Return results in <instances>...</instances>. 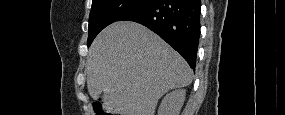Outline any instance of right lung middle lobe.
<instances>
[{
    "label": "right lung middle lobe",
    "instance_id": "dd1d6c3e",
    "mask_svg": "<svg viewBox=\"0 0 285 115\" xmlns=\"http://www.w3.org/2000/svg\"><path fill=\"white\" fill-rule=\"evenodd\" d=\"M150 0H92L89 17L88 46L98 33L124 15L148 3Z\"/></svg>",
    "mask_w": 285,
    "mask_h": 115
}]
</instances>
